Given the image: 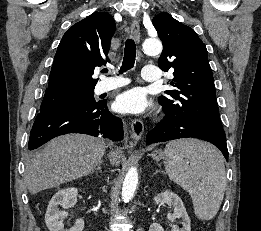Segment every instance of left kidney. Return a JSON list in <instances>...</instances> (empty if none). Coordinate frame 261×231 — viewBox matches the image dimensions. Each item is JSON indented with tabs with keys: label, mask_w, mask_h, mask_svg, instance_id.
Instances as JSON below:
<instances>
[{
	"label": "left kidney",
	"mask_w": 261,
	"mask_h": 231,
	"mask_svg": "<svg viewBox=\"0 0 261 231\" xmlns=\"http://www.w3.org/2000/svg\"><path fill=\"white\" fill-rule=\"evenodd\" d=\"M154 201L157 203H166L174 208L173 214H168L167 218L170 222H174L177 218L182 219V228L177 225L171 224L173 231H191L190 218L186 212L185 206L181 198L170 191H165L154 197ZM149 231H164L158 223L150 225Z\"/></svg>",
	"instance_id": "left-kidney-1"
}]
</instances>
